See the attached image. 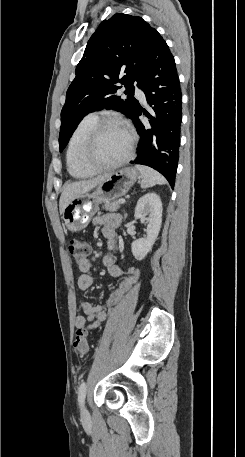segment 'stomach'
Segmentation results:
<instances>
[{"instance_id":"1","label":"stomach","mask_w":245,"mask_h":457,"mask_svg":"<svg viewBox=\"0 0 245 457\" xmlns=\"http://www.w3.org/2000/svg\"><path fill=\"white\" fill-rule=\"evenodd\" d=\"M137 178H141L140 172L134 166H125L115 172H111L106 180L94 186V190H87L78 194L74 200L68 202L63 212V224L67 231L77 233L89 224L92 216L97 212L100 202L115 200L122 194H126L130 186H133Z\"/></svg>"}]
</instances>
